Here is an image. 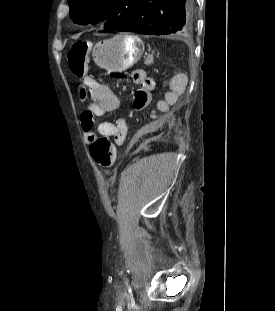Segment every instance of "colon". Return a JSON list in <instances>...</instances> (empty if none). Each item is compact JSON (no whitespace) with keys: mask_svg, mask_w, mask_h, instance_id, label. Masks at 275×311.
<instances>
[{"mask_svg":"<svg viewBox=\"0 0 275 311\" xmlns=\"http://www.w3.org/2000/svg\"><path fill=\"white\" fill-rule=\"evenodd\" d=\"M90 43L77 41L67 52V62L71 72L78 78H84L87 66V54ZM86 94L83 96L85 99ZM90 154L93 161L100 167L109 168L114 165L116 152L114 145L106 136L94 137L90 145Z\"/></svg>","mask_w":275,"mask_h":311,"instance_id":"colon-1","label":"colon"}]
</instances>
